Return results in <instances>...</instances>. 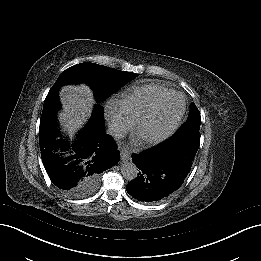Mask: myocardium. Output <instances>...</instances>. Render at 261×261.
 <instances>
[{
	"label": "myocardium",
	"instance_id": "obj_1",
	"mask_svg": "<svg viewBox=\"0 0 261 261\" xmlns=\"http://www.w3.org/2000/svg\"><path fill=\"white\" fill-rule=\"evenodd\" d=\"M175 97H180L182 98V109L181 112L179 114V116L177 117V119L168 127L166 128L164 131L156 134V135H152V136H146L140 133V127L141 124L143 123V121L152 113H156L157 111H159L160 109H162L164 107V105L172 98ZM186 111V98L185 96L180 93V92H173L172 94H170L168 97H166L159 105L156 109H154L152 112H149L145 115H142L134 124L133 127V138L134 141L137 145H146V144H156L159 142L164 141L165 139H167L168 137H170L179 127L183 116L185 114Z\"/></svg>",
	"mask_w": 261,
	"mask_h": 261
}]
</instances>
